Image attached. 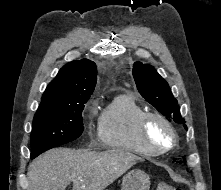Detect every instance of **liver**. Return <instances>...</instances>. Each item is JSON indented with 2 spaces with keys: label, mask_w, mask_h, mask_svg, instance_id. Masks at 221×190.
Here are the masks:
<instances>
[{
  "label": "liver",
  "mask_w": 221,
  "mask_h": 190,
  "mask_svg": "<svg viewBox=\"0 0 221 190\" xmlns=\"http://www.w3.org/2000/svg\"><path fill=\"white\" fill-rule=\"evenodd\" d=\"M143 159L123 149H51L28 168L29 190H103ZM81 178V180L79 179Z\"/></svg>",
  "instance_id": "6515ba94"
}]
</instances>
